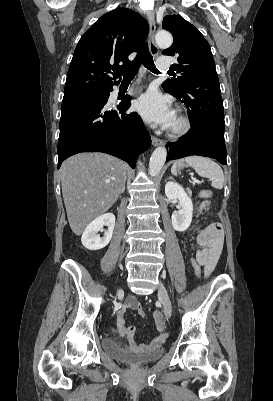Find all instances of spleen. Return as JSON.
Listing matches in <instances>:
<instances>
[{
  "mask_svg": "<svg viewBox=\"0 0 273 401\" xmlns=\"http://www.w3.org/2000/svg\"><path fill=\"white\" fill-rule=\"evenodd\" d=\"M184 162L195 168L200 176L210 178L211 186H214V188H223L224 172L217 162H214L211 158H205V156H186V158H179V160L174 162L171 168L172 174H177L176 168L178 164H184Z\"/></svg>",
  "mask_w": 273,
  "mask_h": 401,
  "instance_id": "1",
  "label": "spleen"
}]
</instances>
